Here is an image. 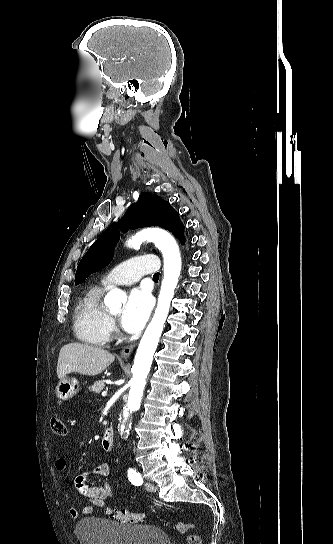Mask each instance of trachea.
<instances>
[{
    "mask_svg": "<svg viewBox=\"0 0 333 544\" xmlns=\"http://www.w3.org/2000/svg\"><path fill=\"white\" fill-rule=\"evenodd\" d=\"M153 278L154 279H159V273L154 274Z\"/></svg>",
    "mask_w": 333,
    "mask_h": 544,
    "instance_id": "1",
    "label": "trachea"
}]
</instances>
